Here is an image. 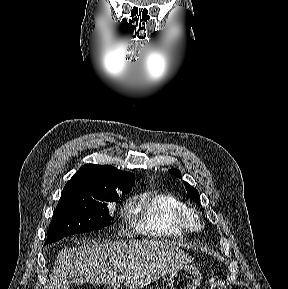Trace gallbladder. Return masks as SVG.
Masks as SVG:
<instances>
[{
    "instance_id": "bac80fb5",
    "label": "gallbladder",
    "mask_w": 288,
    "mask_h": 289,
    "mask_svg": "<svg viewBox=\"0 0 288 289\" xmlns=\"http://www.w3.org/2000/svg\"><path fill=\"white\" fill-rule=\"evenodd\" d=\"M69 281H70L71 284H76V285H82L85 282L84 278L81 277L76 272H71L70 273Z\"/></svg>"
}]
</instances>
